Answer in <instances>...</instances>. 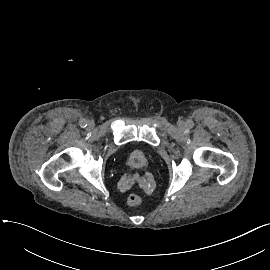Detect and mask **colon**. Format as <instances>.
Segmentation results:
<instances>
[{
    "label": "colon",
    "mask_w": 270,
    "mask_h": 270,
    "mask_svg": "<svg viewBox=\"0 0 270 270\" xmlns=\"http://www.w3.org/2000/svg\"><path fill=\"white\" fill-rule=\"evenodd\" d=\"M126 201L130 206H137L143 201V195L139 192H132L127 196Z\"/></svg>",
    "instance_id": "obj_1"
}]
</instances>
